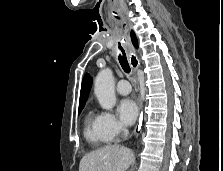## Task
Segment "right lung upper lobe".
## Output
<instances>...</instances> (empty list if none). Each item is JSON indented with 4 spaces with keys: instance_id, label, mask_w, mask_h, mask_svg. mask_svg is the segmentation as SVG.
Here are the masks:
<instances>
[{
    "instance_id": "obj_1",
    "label": "right lung upper lobe",
    "mask_w": 223,
    "mask_h": 171,
    "mask_svg": "<svg viewBox=\"0 0 223 171\" xmlns=\"http://www.w3.org/2000/svg\"><path fill=\"white\" fill-rule=\"evenodd\" d=\"M131 39H132L133 45L137 48L138 47L137 38L133 31L131 32ZM91 86H92V77L88 73H86L83 78L82 85H81L79 107L85 105V102L88 99V95H89Z\"/></svg>"
}]
</instances>
